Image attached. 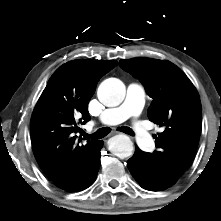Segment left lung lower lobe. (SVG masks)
<instances>
[{"label":"left lung lower lobe","instance_id":"1","mask_svg":"<svg viewBox=\"0 0 221 221\" xmlns=\"http://www.w3.org/2000/svg\"><path fill=\"white\" fill-rule=\"evenodd\" d=\"M128 169L139 185L150 191H160L169 186L156 169L150 153L141 151L135 147L134 155L128 160Z\"/></svg>","mask_w":221,"mask_h":221}]
</instances>
